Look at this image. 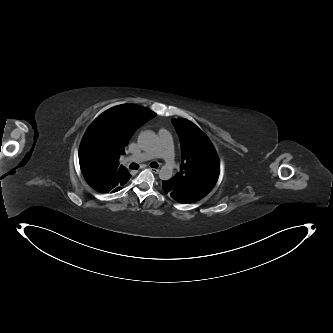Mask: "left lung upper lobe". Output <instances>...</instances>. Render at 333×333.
Wrapping results in <instances>:
<instances>
[{
	"mask_svg": "<svg viewBox=\"0 0 333 333\" xmlns=\"http://www.w3.org/2000/svg\"><path fill=\"white\" fill-rule=\"evenodd\" d=\"M181 143L182 164L171 179L172 189L197 202L205 197L219 177V160L209 138L187 119H173Z\"/></svg>",
	"mask_w": 333,
	"mask_h": 333,
	"instance_id": "left-lung-upper-lobe-1",
	"label": "left lung upper lobe"
}]
</instances>
